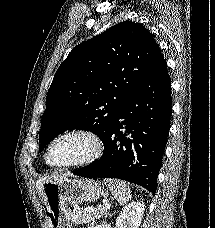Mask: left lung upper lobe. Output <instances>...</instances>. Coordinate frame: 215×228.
I'll return each instance as SVG.
<instances>
[{"mask_svg": "<svg viewBox=\"0 0 215 228\" xmlns=\"http://www.w3.org/2000/svg\"><path fill=\"white\" fill-rule=\"evenodd\" d=\"M160 52L153 35L132 21L77 45L58 68L48 91L39 152L66 130H88L104 141L118 111Z\"/></svg>", "mask_w": 215, "mask_h": 228, "instance_id": "1", "label": "left lung upper lobe"}]
</instances>
